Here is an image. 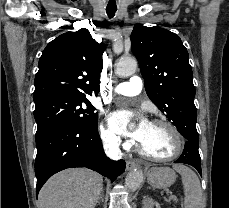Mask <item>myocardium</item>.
<instances>
[{
    "label": "myocardium",
    "instance_id": "1",
    "mask_svg": "<svg viewBox=\"0 0 229 208\" xmlns=\"http://www.w3.org/2000/svg\"><path fill=\"white\" fill-rule=\"evenodd\" d=\"M152 124H157V125H163L167 126L170 129L171 134V142L173 147H180L177 152H175L172 155H169L167 157H151V152H147L146 148H144V145L140 142L139 148L142 152V154L147 157L148 159L155 161V162H170L178 157L181 156V154L184 152L186 146H187V139L184 135V133L180 130L179 127H177L175 124H173L170 121L164 120V119H154L151 121Z\"/></svg>",
    "mask_w": 229,
    "mask_h": 208
}]
</instances>
